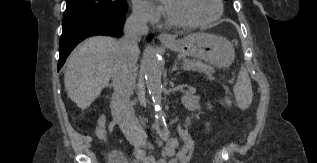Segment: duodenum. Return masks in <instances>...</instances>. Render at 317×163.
Returning a JSON list of instances; mask_svg holds the SVG:
<instances>
[{
    "label": "duodenum",
    "instance_id": "410a0bca",
    "mask_svg": "<svg viewBox=\"0 0 317 163\" xmlns=\"http://www.w3.org/2000/svg\"><path fill=\"white\" fill-rule=\"evenodd\" d=\"M118 152H119V151H117V150H114V151H113L114 154H117Z\"/></svg>",
    "mask_w": 317,
    "mask_h": 163
}]
</instances>
